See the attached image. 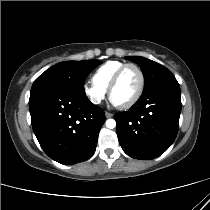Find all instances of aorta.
Wrapping results in <instances>:
<instances>
[{"instance_id": "aorta-1", "label": "aorta", "mask_w": 210, "mask_h": 210, "mask_svg": "<svg viewBox=\"0 0 210 210\" xmlns=\"http://www.w3.org/2000/svg\"><path fill=\"white\" fill-rule=\"evenodd\" d=\"M106 127L109 129H113L116 127V121L114 119H108L106 121Z\"/></svg>"}]
</instances>
